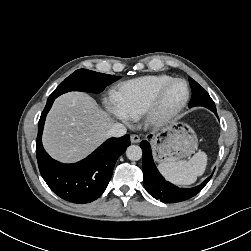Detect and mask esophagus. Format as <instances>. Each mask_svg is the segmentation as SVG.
I'll list each match as a JSON object with an SVG mask.
<instances>
[{"label":"esophagus","mask_w":251,"mask_h":251,"mask_svg":"<svg viewBox=\"0 0 251 251\" xmlns=\"http://www.w3.org/2000/svg\"><path fill=\"white\" fill-rule=\"evenodd\" d=\"M130 140H131V143H139L140 137L136 134H133V135H131Z\"/></svg>","instance_id":"1"}]
</instances>
